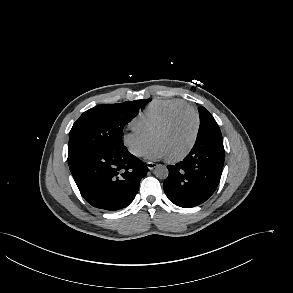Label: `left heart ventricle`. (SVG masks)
<instances>
[{
    "label": "left heart ventricle",
    "instance_id": "left-heart-ventricle-1",
    "mask_svg": "<svg viewBox=\"0 0 293 293\" xmlns=\"http://www.w3.org/2000/svg\"><path fill=\"white\" fill-rule=\"evenodd\" d=\"M195 130V118L191 113L179 116L166 130L158 134L154 143L159 144L167 157H174L187 149Z\"/></svg>",
    "mask_w": 293,
    "mask_h": 293
}]
</instances>
